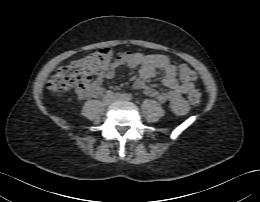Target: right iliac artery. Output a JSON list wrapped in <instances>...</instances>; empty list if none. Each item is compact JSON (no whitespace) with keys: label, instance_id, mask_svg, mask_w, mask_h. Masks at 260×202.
Segmentation results:
<instances>
[{"label":"right iliac artery","instance_id":"right-iliac-artery-1","mask_svg":"<svg viewBox=\"0 0 260 202\" xmlns=\"http://www.w3.org/2000/svg\"><path fill=\"white\" fill-rule=\"evenodd\" d=\"M106 95L112 97V96L114 95V93H113L112 91H108V92L106 93Z\"/></svg>","mask_w":260,"mask_h":202}]
</instances>
